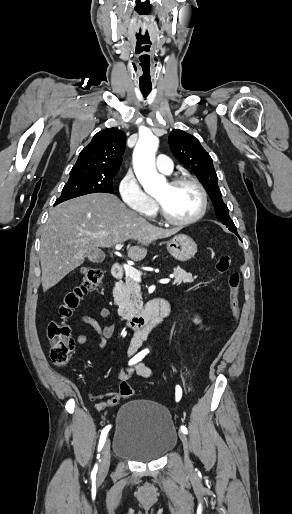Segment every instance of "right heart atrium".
<instances>
[{
    "mask_svg": "<svg viewBox=\"0 0 292 514\" xmlns=\"http://www.w3.org/2000/svg\"><path fill=\"white\" fill-rule=\"evenodd\" d=\"M118 192L123 203L130 209H142V213H145L153 208L151 198L131 170L126 171L121 177Z\"/></svg>",
    "mask_w": 292,
    "mask_h": 514,
    "instance_id": "1",
    "label": "right heart atrium"
}]
</instances>
